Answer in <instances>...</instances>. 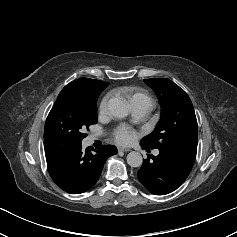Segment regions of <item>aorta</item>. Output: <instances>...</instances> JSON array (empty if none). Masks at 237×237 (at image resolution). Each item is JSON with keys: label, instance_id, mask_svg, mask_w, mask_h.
Wrapping results in <instances>:
<instances>
[{"label": "aorta", "instance_id": "aorta-1", "mask_svg": "<svg viewBox=\"0 0 237 237\" xmlns=\"http://www.w3.org/2000/svg\"><path fill=\"white\" fill-rule=\"evenodd\" d=\"M109 112L117 118H124L129 114L127 103L121 98L114 97L108 101ZM143 158L139 152L132 151L127 155V163L131 167H139L142 165Z\"/></svg>", "mask_w": 237, "mask_h": 237}]
</instances>
